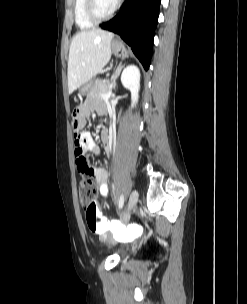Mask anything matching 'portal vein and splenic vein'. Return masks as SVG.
Wrapping results in <instances>:
<instances>
[{"mask_svg":"<svg viewBox=\"0 0 247 304\" xmlns=\"http://www.w3.org/2000/svg\"><path fill=\"white\" fill-rule=\"evenodd\" d=\"M111 93H112V91H111V90H109V92H108V93H106V94H102V95H101V97H108V96H110V95H111Z\"/></svg>","mask_w":247,"mask_h":304,"instance_id":"portal-vein-and-splenic-vein-1","label":"portal vein and splenic vein"}]
</instances>
